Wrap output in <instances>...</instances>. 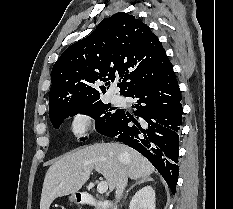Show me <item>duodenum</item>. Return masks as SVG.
<instances>
[{
  "label": "duodenum",
  "mask_w": 233,
  "mask_h": 209,
  "mask_svg": "<svg viewBox=\"0 0 233 209\" xmlns=\"http://www.w3.org/2000/svg\"><path fill=\"white\" fill-rule=\"evenodd\" d=\"M78 202L83 205L92 206L95 209H111L112 203L109 200H98L88 193H82L78 197Z\"/></svg>",
  "instance_id": "410a0bca"
}]
</instances>
